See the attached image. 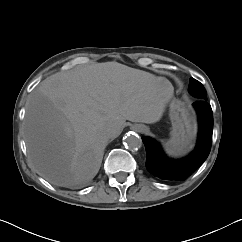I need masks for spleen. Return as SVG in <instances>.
I'll return each mask as SVG.
<instances>
[{
	"label": "spleen",
	"mask_w": 242,
	"mask_h": 242,
	"mask_svg": "<svg viewBox=\"0 0 242 242\" xmlns=\"http://www.w3.org/2000/svg\"><path fill=\"white\" fill-rule=\"evenodd\" d=\"M169 153L177 155L173 150L167 149Z\"/></svg>",
	"instance_id": "obj_1"
}]
</instances>
